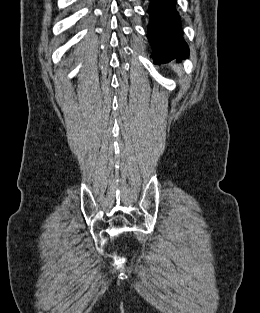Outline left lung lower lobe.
I'll use <instances>...</instances> for the list:
<instances>
[{
    "mask_svg": "<svg viewBox=\"0 0 260 313\" xmlns=\"http://www.w3.org/2000/svg\"><path fill=\"white\" fill-rule=\"evenodd\" d=\"M175 5L176 0H150L147 37L154 49V63H166L189 56Z\"/></svg>",
    "mask_w": 260,
    "mask_h": 313,
    "instance_id": "1",
    "label": "left lung lower lobe"
}]
</instances>
